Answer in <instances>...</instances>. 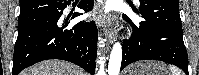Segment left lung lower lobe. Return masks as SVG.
Masks as SVG:
<instances>
[{"label":"left lung lower lobe","instance_id":"left-lung-lower-lobe-1","mask_svg":"<svg viewBox=\"0 0 199 75\" xmlns=\"http://www.w3.org/2000/svg\"><path fill=\"white\" fill-rule=\"evenodd\" d=\"M140 13L145 20L138 27L123 15L133 34L123 41L121 70L135 61L160 60L178 66L188 75L179 0H140Z\"/></svg>","mask_w":199,"mask_h":75}]
</instances>
